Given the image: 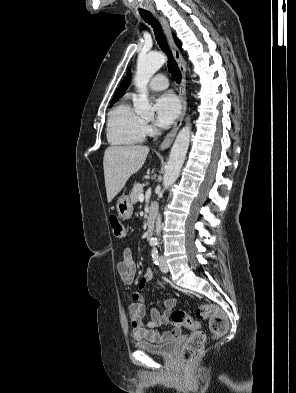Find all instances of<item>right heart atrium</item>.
Wrapping results in <instances>:
<instances>
[{
  "mask_svg": "<svg viewBox=\"0 0 296 393\" xmlns=\"http://www.w3.org/2000/svg\"><path fill=\"white\" fill-rule=\"evenodd\" d=\"M155 132L154 127L149 123H144V133L145 135H152Z\"/></svg>",
  "mask_w": 296,
  "mask_h": 393,
  "instance_id": "1",
  "label": "right heart atrium"
}]
</instances>
